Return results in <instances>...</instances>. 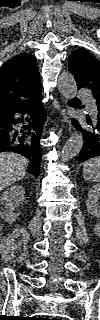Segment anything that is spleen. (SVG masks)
Masks as SVG:
<instances>
[{
	"label": "spleen",
	"mask_w": 100,
	"mask_h": 320,
	"mask_svg": "<svg viewBox=\"0 0 100 320\" xmlns=\"http://www.w3.org/2000/svg\"><path fill=\"white\" fill-rule=\"evenodd\" d=\"M83 177L86 181L100 182V158H92L83 164Z\"/></svg>",
	"instance_id": "spleen-1"
}]
</instances>
